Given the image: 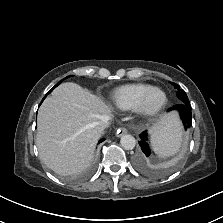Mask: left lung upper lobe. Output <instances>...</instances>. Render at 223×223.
I'll return each instance as SVG.
<instances>
[{"mask_svg":"<svg viewBox=\"0 0 223 223\" xmlns=\"http://www.w3.org/2000/svg\"><path fill=\"white\" fill-rule=\"evenodd\" d=\"M174 88L177 89V96L178 98L185 104L189 103V99L183 89H180V86L177 85L176 83H172Z\"/></svg>","mask_w":223,"mask_h":223,"instance_id":"1","label":"left lung upper lobe"}]
</instances>
